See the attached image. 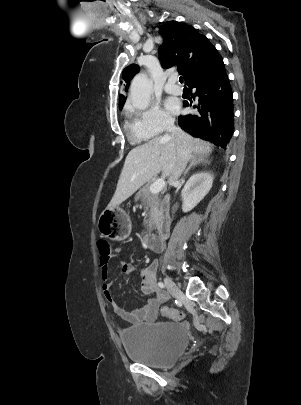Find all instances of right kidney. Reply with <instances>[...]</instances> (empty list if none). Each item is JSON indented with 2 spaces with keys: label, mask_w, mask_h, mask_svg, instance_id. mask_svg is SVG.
Here are the masks:
<instances>
[{
  "label": "right kidney",
  "mask_w": 301,
  "mask_h": 405,
  "mask_svg": "<svg viewBox=\"0 0 301 405\" xmlns=\"http://www.w3.org/2000/svg\"><path fill=\"white\" fill-rule=\"evenodd\" d=\"M213 176L209 172H199L192 175L182 190L183 212L192 210L210 191Z\"/></svg>",
  "instance_id": "1"
}]
</instances>
